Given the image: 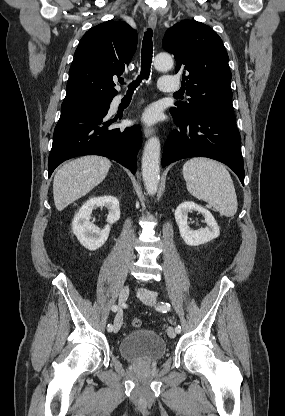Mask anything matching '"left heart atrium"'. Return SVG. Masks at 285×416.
<instances>
[{"instance_id":"left-heart-atrium-1","label":"left heart atrium","mask_w":285,"mask_h":416,"mask_svg":"<svg viewBox=\"0 0 285 416\" xmlns=\"http://www.w3.org/2000/svg\"><path fill=\"white\" fill-rule=\"evenodd\" d=\"M157 119V113L153 108H148L143 114V121L146 123H154Z\"/></svg>"}]
</instances>
